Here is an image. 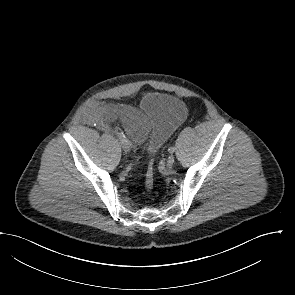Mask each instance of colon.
<instances>
[{
  "instance_id": "1",
  "label": "colon",
  "mask_w": 295,
  "mask_h": 295,
  "mask_svg": "<svg viewBox=\"0 0 295 295\" xmlns=\"http://www.w3.org/2000/svg\"><path fill=\"white\" fill-rule=\"evenodd\" d=\"M154 182H155V172H154V164L151 161L146 170L145 174V188L148 191H151L154 187Z\"/></svg>"
}]
</instances>
